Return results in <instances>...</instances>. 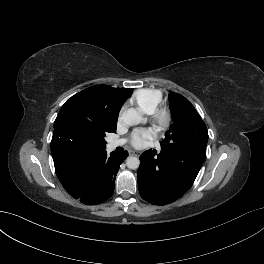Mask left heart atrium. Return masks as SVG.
<instances>
[{"instance_id":"left-heart-atrium-1","label":"left heart atrium","mask_w":264,"mask_h":264,"mask_svg":"<svg viewBox=\"0 0 264 264\" xmlns=\"http://www.w3.org/2000/svg\"><path fill=\"white\" fill-rule=\"evenodd\" d=\"M151 138L152 133L149 130H136L132 134L131 143L134 147L140 148Z\"/></svg>"}]
</instances>
